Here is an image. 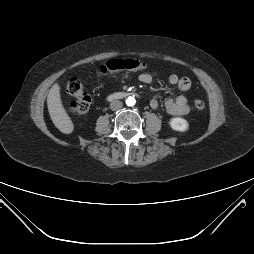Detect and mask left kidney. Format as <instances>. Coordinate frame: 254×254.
<instances>
[{"instance_id":"1","label":"left kidney","mask_w":254,"mask_h":254,"mask_svg":"<svg viewBox=\"0 0 254 254\" xmlns=\"http://www.w3.org/2000/svg\"><path fill=\"white\" fill-rule=\"evenodd\" d=\"M169 124L173 130L180 131V132L186 131L189 127V123L187 122V120L181 117H174L170 119Z\"/></svg>"}]
</instances>
